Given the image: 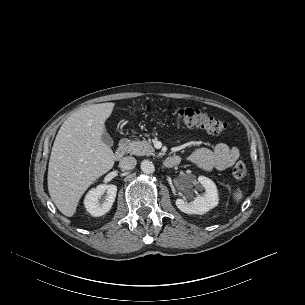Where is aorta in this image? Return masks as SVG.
Here are the masks:
<instances>
[{
  "instance_id": "obj_1",
  "label": "aorta",
  "mask_w": 305,
  "mask_h": 305,
  "mask_svg": "<svg viewBox=\"0 0 305 305\" xmlns=\"http://www.w3.org/2000/svg\"><path fill=\"white\" fill-rule=\"evenodd\" d=\"M141 170L145 173V174H152L155 171V166L154 164L149 161V160H143L141 162Z\"/></svg>"
}]
</instances>
